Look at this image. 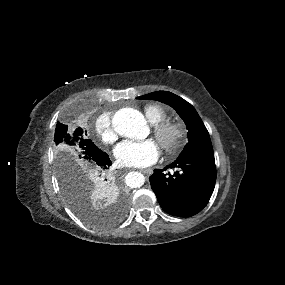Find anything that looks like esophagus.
Returning a JSON list of instances; mask_svg holds the SVG:
<instances>
[{"label": "esophagus", "mask_w": 285, "mask_h": 285, "mask_svg": "<svg viewBox=\"0 0 285 285\" xmlns=\"http://www.w3.org/2000/svg\"><path fill=\"white\" fill-rule=\"evenodd\" d=\"M141 172L146 175H151L153 173V170L151 168H148V169H142Z\"/></svg>", "instance_id": "34e87169"}]
</instances>
